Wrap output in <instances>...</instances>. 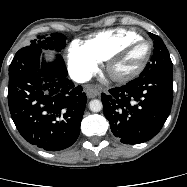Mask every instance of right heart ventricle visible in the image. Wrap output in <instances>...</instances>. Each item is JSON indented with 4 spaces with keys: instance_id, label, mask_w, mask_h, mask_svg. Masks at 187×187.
Returning <instances> with one entry per match:
<instances>
[{
    "instance_id": "right-heart-ventricle-1",
    "label": "right heart ventricle",
    "mask_w": 187,
    "mask_h": 187,
    "mask_svg": "<svg viewBox=\"0 0 187 187\" xmlns=\"http://www.w3.org/2000/svg\"><path fill=\"white\" fill-rule=\"evenodd\" d=\"M139 37L141 35L132 30L110 29L90 36L83 45L99 62H103L119 46Z\"/></svg>"
}]
</instances>
